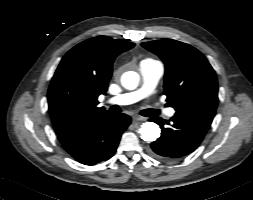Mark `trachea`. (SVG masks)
Masks as SVG:
<instances>
[{"label": "trachea", "mask_w": 253, "mask_h": 200, "mask_svg": "<svg viewBox=\"0 0 253 200\" xmlns=\"http://www.w3.org/2000/svg\"><path fill=\"white\" fill-rule=\"evenodd\" d=\"M111 111L114 113H117L120 111V109L118 106H113ZM159 113L160 111L157 109H148V110L143 111V115L146 117L155 116V115H158Z\"/></svg>", "instance_id": "1"}]
</instances>
